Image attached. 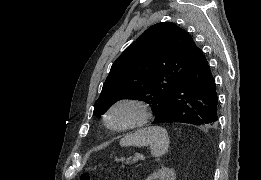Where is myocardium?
<instances>
[{
  "mask_svg": "<svg viewBox=\"0 0 261 180\" xmlns=\"http://www.w3.org/2000/svg\"><path fill=\"white\" fill-rule=\"evenodd\" d=\"M120 108H130L133 113L127 121L116 124L114 122V114ZM148 117V105L145 101L137 97H122L109 105L105 112L104 121L110 130L123 133L144 125Z\"/></svg>",
  "mask_w": 261,
  "mask_h": 180,
  "instance_id": "f54148a6",
  "label": "myocardium"
}]
</instances>
